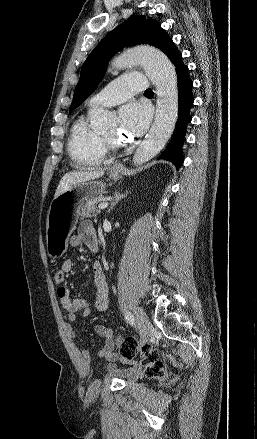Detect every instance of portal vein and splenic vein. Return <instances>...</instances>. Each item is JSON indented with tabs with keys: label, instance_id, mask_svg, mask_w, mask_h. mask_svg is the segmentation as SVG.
<instances>
[{
	"label": "portal vein and splenic vein",
	"instance_id": "portal-vein-and-splenic-vein-1",
	"mask_svg": "<svg viewBox=\"0 0 257 439\" xmlns=\"http://www.w3.org/2000/svg\"><path fill=\"white\" fill-rule=\"evenodd\" d=\"M108 205H109L108 202H102V203H100V204L98 205V208H99V209H105V208L108 207Z\"/></svg>",
	"mask_w": 257,
	"mask_h": 439
}]
</instances>
